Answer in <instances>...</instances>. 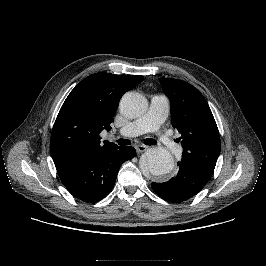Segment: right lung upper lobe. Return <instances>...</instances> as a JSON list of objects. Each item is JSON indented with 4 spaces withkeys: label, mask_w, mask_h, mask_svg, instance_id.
<instances>
[{
    "label": "right lung upper lobe",
    "mask_w": 266,
    "mask_h": 266,
    "mask_svg": "<svg viewBox=\"0 0 266 266\" xmlns=\"http://www.w3.org/2000/svg\"><path fill=\"white\" fill-rule=\"evenodd\" d=\"M144 79L141 75L95 73L83 79L63 103L50 139L54 162L117 146L100 144V132L111 122L122 95Z\"/></svg>",
    "instance_id": "1"
}]
</instances>
